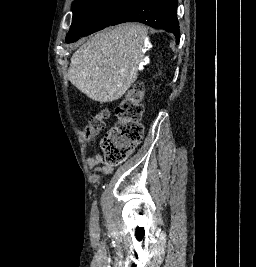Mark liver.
I'll use <instances>...</instances> for the list:
<instances>
[{
    "label": "liver",
    "mask_w": 256,
    "mask_h": 267,
    "mask_svg": "<svg viewBox=\"0 0 256 267\" xmlns=\"http://www.w3.org/2000/svg\"><path fill=\"white\" fill-rule=\"evenodd\" d=\"M146 32L143 24L98 32L73 54L68 80L95 102L119 100L138 76Z\"/></svg>",
    "instance_id": "obj_1"
}]
</instances>
